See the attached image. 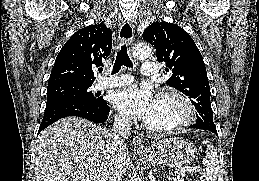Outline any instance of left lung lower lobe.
Instances as JSON below:
<instances>
[{"instance_id":"obj_1","label":"left lung lower lobe","mask_w":259,"mask_h":181,"mask_svg":"<svg viewBox=\"0 0 259 181\" xmlns=\"http://www.w3.org/2000/svg\"><path fill=\"white\" fill-rule=\"evenodd\" d=\"M188 128H199V129L209 130L218 136L216 129L208 128L205 126H200V125L194 124V125L189 126Z\"/></svg>"}]
</instances>
